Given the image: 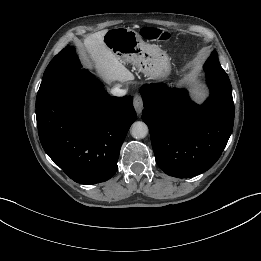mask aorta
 Masks as SVG:
<instances>
[{"instance_id": "762f6f07", "label": "aorta", "mask_w": 261, "mask_h": 261, "mask_svg": "<svg viewBox=\"0 0 261 261\" xmlns=\"http://www.w3.org/2000/svg\"><path fill=\"white\" fill-rule=\"evenodd\" d=\"M148 134V126L142 121H136L131 126V135L135 139H143Z\"/></svg>"}]
</instances>
